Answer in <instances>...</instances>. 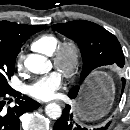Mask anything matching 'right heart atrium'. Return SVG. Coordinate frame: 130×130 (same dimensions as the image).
Masks as SVG:
<instances>
[{"label": "right heart atrium", "instance_id": "obj_1", "mask_svg": "<svg viewBox=\"0 0 130 130\" xmlns=\"http://www.w3.org/2000/svg\"><path fill=\"white\" fill-rule=\"evenodd\" d=\"M23 63H24V54L22 51H20L16 57V66L19 70L23 69Z\"/></svg>", "mask_w": 130, "mask_h": 130}]
</instances>
